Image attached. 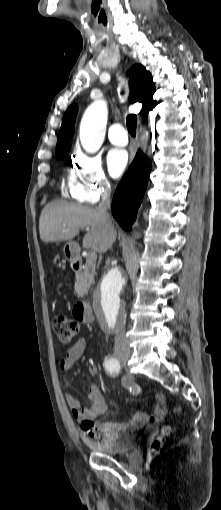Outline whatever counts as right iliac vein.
I'll use <instances>...</instances> for the list:
<instances>
[{
    "label": "right iliac vein",
    "mask_w": 221,
    "mask_h": 510,
    "mask_svg": "<svg viewBox=\"0 0 221 510\" xmlns=\"http://www.w3.org/2000/svg\"><path fill=\"white\" fill-rule=\"evenodd\" d=\"M129 357V354L128 353H124V354H120L118 355V359L123 362V361H126Z\"/></svg>",
    "instance_id": "1"
}]
</instances>
